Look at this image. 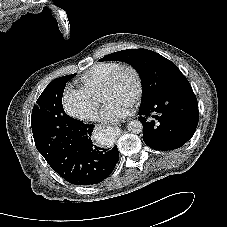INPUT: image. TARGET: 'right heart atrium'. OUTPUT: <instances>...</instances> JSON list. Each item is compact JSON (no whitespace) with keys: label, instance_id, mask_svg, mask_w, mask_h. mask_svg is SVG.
<instances>
[{"label":"right heart atrium","instance_id":"obj_1","mask_svg":"<svg viewBox=\"0 0 227 227\" xmlns=\"http://www.w3.org/2000/svg\"><path fill=\"white\" fill-rule=\"evenodd\" d=\"M61 102L64 111L76 119L90 121L97 116L98 104L92 95L84 90L66 88Z\"/></svg>","mask_w":227,"mask_h":227}]
</instances>
